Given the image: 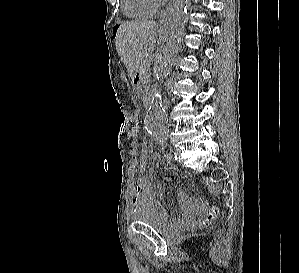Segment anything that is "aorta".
<instances>
[{
    "label": "aorta",
    "mask_w": 299,
    "mask_h": 273,
    "mask_svg": "<svg viewBox=\"0 0 299 273\" xmlns=\"http://www.w3.org/2000/svg\"><path fill=\"white\" fill-rule=\"evenodd\" d=\"M187 7L188 0H175L170 9L169 19L163 33L161 56L157 69L160 80L167 76L169 65L178 52ZM145 128L149 134L158 138L164 137L167 133V116L162 106L160 91L155 92L151 98L145 117Z\"/></svg>",
    "instance_id": "762f6f07"
}]
</instances>
